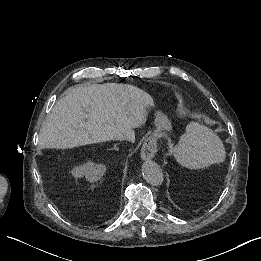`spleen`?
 <instances>
[{
	"mask_svg": "<svg viewBox=\"0 0 261 261\" xmlns=\"http://www.w3.org/2000/svg\"><path fill=\"white\" fill-rule=\"evenodd\" d=\"M178 162L189 169H200L223 162L226 151L222 140L207 126L191 122L176 146Z\"/></svg>",
	"mask_w": 261,
	"mask_h": 261,
	"instance_id": "obj_1",
	"label": "spleen"
}]
</instances>
